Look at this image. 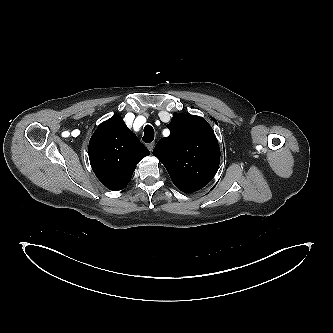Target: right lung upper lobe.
<instances>
[{"label":"right lung upper lobe","mask_w":333,"mask_h":333,"mask_svg":"<svg viewBox=\"0 0 333 333\" xmlns=\"http://www.w3.org/2000/svg\"><path fill=\"white\" fill-rule=\"evenodd\" d=\"M88 151L97 178L115 191L127 186L136 164L150 154L119 115L98 126L90 139Z\"/></svg>","instance_id":"right-lung-upper-lobe-1"}]
</instances>
